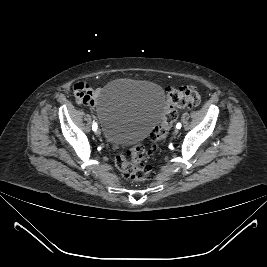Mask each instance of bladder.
Returning a JSON list of instances; mask_svg holds the SVG:
<instances>
[{
	"label": "bladder",
	"instance_id": "bladder-1",
	"mask_svg": "<svg viewBox=\"0 0 267 267\" xmlns=\"http://www.w3.org/2000/svg\"><path fill=\"white\" fill-rule=\"evenodd\" d=\"M165 109L166 97L161 87L131 79L108 83L96 103L105 137L119 147L144 139L161 120Z\"/></svg>",
	"mask_w": 267,
	"mask_h": 267
}]
</instances>
